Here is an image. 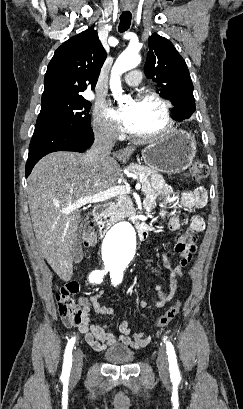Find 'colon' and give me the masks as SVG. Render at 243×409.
<instances>
[{"mask_svg": "<svg viewBox=\"0 0 243 409\" xmlns=\"http://www.w3.org/2000/svg\"><path fill=\"white\" fill-rule=\"evenodd\" d=\"M208 176V168L202 161H194L186 175L192 177L196 181L204 180ZM83 244L90 248L96 244V235L93 231L92 225L85 228L83 234ZM79 291V283L76 281H69L60 286L56 291L57 310L63 322L68 326H76L82 322L83 310L76 303L73 296ZM181 303L176 302L171 305L167 311L161 315L155 322L158 327H164L173 321L179 314Z\"/></svg>", "mask_w": 243, "mask_h": 409, "instance_id": "5ec220e1", "label": "colon"}]
</instances>
